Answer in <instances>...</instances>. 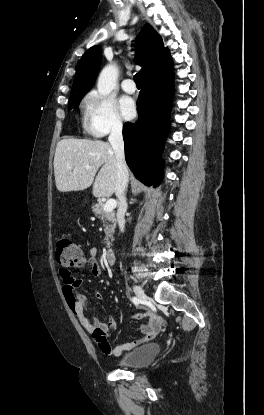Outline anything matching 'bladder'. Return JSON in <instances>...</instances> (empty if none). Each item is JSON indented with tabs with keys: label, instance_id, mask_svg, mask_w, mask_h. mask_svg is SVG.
I'll return each mask as SVG.
<instances>
[{
	"label": "bladder",
	"instance_id": "bladder-1",
	"mask_svg": "<svg viewBox=\"0 0 264 415\" xmlns=\"http://www.w3.org/2000/svg\"><path fill=\"white\" fill-rule=\"evenodd\" d=\"M161 351L158 344L152 343L139 347L138 349L127 353L116 361L117 366L128 368H142L151 364Z\"/></svg>",
	"mask_w": 264,
	"mask_h": 415
}]
</instances>
